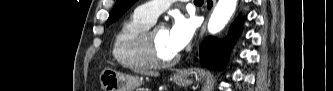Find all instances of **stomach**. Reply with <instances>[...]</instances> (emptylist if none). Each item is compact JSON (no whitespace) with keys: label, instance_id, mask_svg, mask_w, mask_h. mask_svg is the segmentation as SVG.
Here are the masks:
<instances>
[{"label":"stomach","instance_id":"obj_1","mask_svg":"<svg viewBox=\"0 0 333 91\" xmlns=\"http://www.w3.org/2000/svg\"><path fill=\"white\" fill-rule=\"evenodd\" d=\"M173 81L178 86H186L191 83L186 76H174ZM99 82L103 91H137L136 89L142 84L143 79L105 68L99 75Z\"/></svg>","mask_w":333,"mask_h":91}]
</instances>
